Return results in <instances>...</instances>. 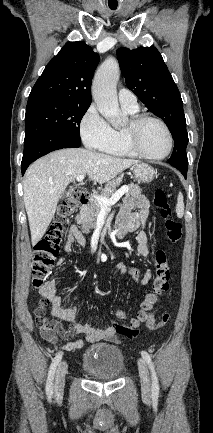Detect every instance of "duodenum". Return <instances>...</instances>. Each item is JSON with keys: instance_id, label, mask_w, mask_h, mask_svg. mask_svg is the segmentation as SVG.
<instances>
[{"instance_id": "1", "label": "duodenum", "mask_w": 213, "mask_h": 433, "mask_svg": "<svg viewBox=\"0 0 213 433\" xmlns=\"http://www.w3.org/2000/svg\"><path fill=\"white\" fill-rule=\"evenodd\" d=\"M87 204H88V197L83 202L81 207H85ZM128 231H130V230L128 228H126L125 226H119L116 228V237L118 239H122Z\"/></svg>"}]
</instances>
